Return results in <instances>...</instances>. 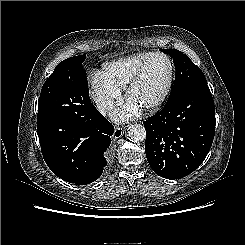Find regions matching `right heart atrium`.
Returning <instances> with one entry per match:
<instances>
[{"instance_id": "1", "label": "right heart atrium", "mask_w": 245, "mask_h": 245, "mask_svg": "<svg viewBox=\"0 0 245 245\" xmlns=\"http://www.w3.org/2000/svg\"><path fill=\"white\" fill-rule=\"evenodd\" d=\"M91 86L93 98L102 113H108L121 98L120 89L112 85L99 71L92 73Z\"/></svg>"}]
</instances>
